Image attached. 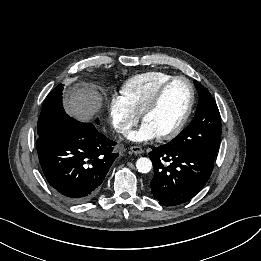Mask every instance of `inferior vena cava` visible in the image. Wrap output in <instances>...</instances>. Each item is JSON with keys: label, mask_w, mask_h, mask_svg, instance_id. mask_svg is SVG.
Listing matches in <instances>:
<instances>
[{"label": "inferior vena cava", "mask_w": 261, "mask_h": 261, "mask_svg": "<svg viewBox=\"0 0 261 261\" xmlns=\"http://www.w3.org/2000/svg\"><path fill=\"white\" fill-rule=\"evenodd\" d=\"M117 131L124 133V132H128V129L126 127H123V126H118Z\"/></svg>", "instance_id": "1"}]
</instances>
